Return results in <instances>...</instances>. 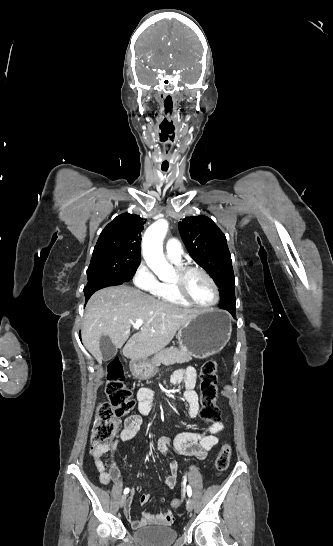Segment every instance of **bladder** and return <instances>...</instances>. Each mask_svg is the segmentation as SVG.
Here are the masks:
<instances>
[{"instance_id": "bladder-1", "label": "bladder", "mask_w": 333, "mask_h": 546, "mask_svg": "<svg viewBox=\"0 0 333 546\" xmlns=\"http://www.w3.org/2000/svg\"><path fill=\"white\" fill-rule=\"evenodd\" d=\"M133 536L142 546H170L177 539L178 533L170 526L150 525L137 528Z\"/></svg>"}]
</instances>
